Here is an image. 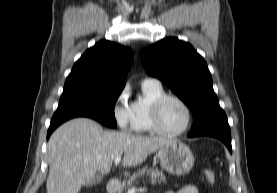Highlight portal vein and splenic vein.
Masks as SVG:
<instances>
[{
	"mask_svg": "<svg viewBox=\"0 0 277 193\" xmlns=\"http://www.w3.org/2000/svg\"><path fill=\"white\" fill-rule=\"evenodd\" d=\"M121 162V156H117L114 159V163L115 165H118ZM128 193H136V189L135 188H131Z\"/></svg>",
	"mask_w": 277,
	"mask_h": 193,
	"instance_id": "18ae733b",
	"label": "portal vein and splenic vein"
}]
</instances>
